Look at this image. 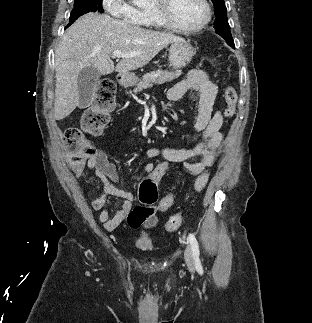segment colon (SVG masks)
<instances>
[{"label": "colon", "mask_w": 312, "mask_h": 323, "mask_svg": "<svg viewBox=\"0 0 312 323\" xmlns=\"http://www.w3.org/2000/svg\"><path fill=\"white\" fill-rule=\"evenodd\" d=\"M115 83L109 77H103L98 81L96 86L92 106L86 109L81 117L79 126L68 127L64 133V142L69 149V158L66 161V168H73L74 172H82L83 164L87 159L93 156L94 148L87 140V136H99L103 128L109 122L110 113L116 105ZM224 100L226 104V113L231 116L234 113L237 103V92L231 85H227L224 91ZM169 162L162 161L159 168H154L150 177H140V186L137 194L141 202L146 204L145 207L137 212L142 219L150 218L155 212V204L158 198L157 186L159 179L165 173L166 166ZM208 180V175H201L196 183L195 189L201 191ZM160 213H170L174 204L170 197H162L159 204ZM174 215L166 224L165 231L167 233H175L181 226L182 217L174 212Z\"/></svg>", "instance_id": "1"}]
</instances>
